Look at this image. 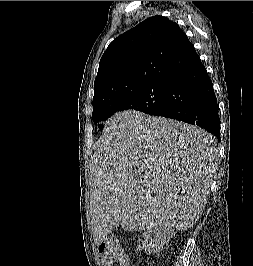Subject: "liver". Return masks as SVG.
Listing matches in <instances>:
<instances>
[{
  "label": "liver",
  "instance_id": "obj_1",
  "mask_svg": "<svg viewBox=\"0 0 253 266\" xmlns=\"http://www.w3.org/2000/svg\"><path fill=\"white\" fill-rule=\"evenodd\" d=\"M217 155L213 135L197 126L137 111L112 116L91 160L95 244L119 224L131 232L191 228L205 208Z\"/></svg>",
  "mask_w": 253,
  "mask_h": 266
}]
</instances>
